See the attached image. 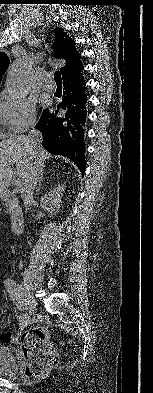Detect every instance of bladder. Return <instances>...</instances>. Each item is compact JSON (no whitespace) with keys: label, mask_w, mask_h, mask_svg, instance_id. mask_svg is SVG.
<instances>
[{"label":"bladder","mask_w":153,"mask_h":393,"mask_svg":"<svg viewBox=\"0 0 153 393\" xmlns=\"http://www.w3.org/2000/svg\"><path fill=\"white\" fill-rule=\"evenodd\" d=\"M14 366L11 352L7 347H0V375L8 374Z\"/></svg>","instance_id":"31cf9c89"}]
</instances>
